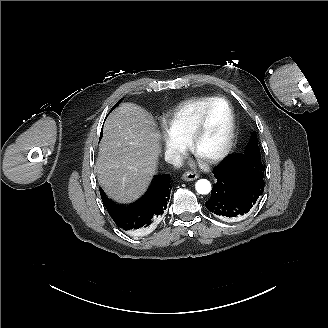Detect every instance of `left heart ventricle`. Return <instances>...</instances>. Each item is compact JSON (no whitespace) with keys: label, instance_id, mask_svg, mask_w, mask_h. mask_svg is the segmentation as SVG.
Wrapping results in <instances>:
<instances>
[{"label":"left heart ventricle","instance_id":"1","mask_svg":"<svg viewBox=\"0 0 328 328\" xmlns=\"http://www.w3.org/2000/svg\"><path fill=\"white\" fill-rule=\"evenodd\" d=\"M230 124L229 109L225 103H217L209 112L206 128L198 145L201 156H209L224 145Z\"/></svg>","mask_w":328,"mask_h":328}]
</instances>
